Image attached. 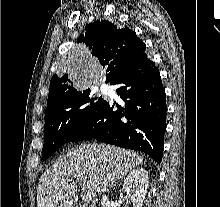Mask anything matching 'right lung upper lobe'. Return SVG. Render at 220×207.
Listing matches in <instances>:
<instances>
[{
	"label": "right lung upper lobe",
	"mask_w": 220,
	"mask_h": 207,
	"mask_svg": "<svg viewBox=\"0 0 220 207\" xmlns=\"http://www.w3.org/2000/svg\"><path fill=\"white\" fill-rule=\"evenodd\" d=\"M85 34L77 42L84 43L92 56L106 66V82L110 83L117 74L134 58L145 51V44L128 27L106 20H97L85 27ZM77 89L67 74L51 78L45 113L62 97Z\"/></svg>",
	"instance_id": "cb5924a9"
}]
</instances>
